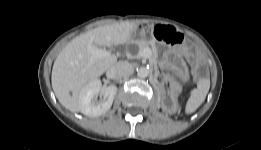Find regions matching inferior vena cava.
<instances>
[{
	"instance_id": "inferior-vena-cava-1",
	"label": "inferior vena cava",
	"mask_w": 261,
	"mask_h": 150,
	"mask_svg": "<svg viewBox=\"0 0 261 150\" xmlns=\"http://www.w3.org/2000/svg\"><path fill=\"white\" fill-rule=\"evenodd\" d=\"M134 72L132 64L127 61H120L116 63L111 69V77L115 79H120L130 76Z\"/></svg>"
}]
</instances>
